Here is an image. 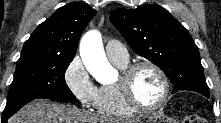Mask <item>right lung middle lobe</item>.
Instances as JSON below:
<instances>
[{"mask_svg":"<svg viewBox=\"0 0 221 123\" xmlns=\"http://www.w3.org/2000/svg\"><path fill=\"white\" fill-rule=\"evenodd\" d=\"M73 58L54 54H21L2 117L12 116L34 99H75L65 82V72Z\"/></svg>","mask_w":221,"mask_h":123,"instance_id":"dd1d6c3e","label":"right lung middle lobe"}]
</instances>
